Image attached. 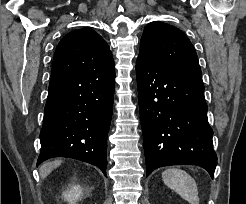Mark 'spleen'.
I'll return each mask as SVG.
<instances>
[{
	"mask_svg": "<svg viewBox=\"0 0 246 204\" xmlns=\"http://www.w3.org/2000/svg\"><path fill=\"white\" fill-rule=\"evenodd\" d=\"M163 182L176 191L190 204H199L198 187L195 179L186 171L169 168L162 172Z\"/></svg>",
	"mask_w": 246,
	"mask_h": 204,
	"instance_id": "obj_1",
	"label": "spleen"
}]
</instances>
